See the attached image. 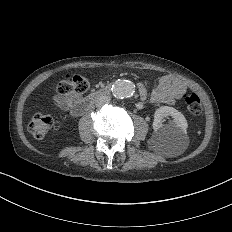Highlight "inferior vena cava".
Listing matches in <instances>:
<instances>
[{"label": "inferior vena cava", "mask_w": 232, "mask_h": 232, "mask_svg": "<svg viewBox=\"0 0 232 232\" xmlns=\"http://www.w3.org/2000/svg\"><path fill=\"white\" fill-rule=\"evenodd\" d=\"M110 102L109 96H101L97 102V106H103L104 104H108Z\"/></svg>", "instance_id": "1"}]
</instances>
